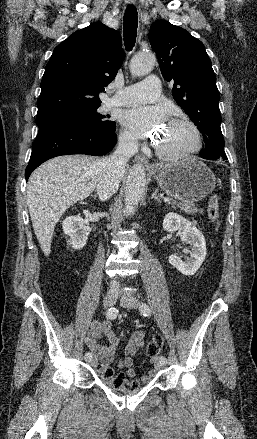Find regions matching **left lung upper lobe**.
Wrapping results in <instances>:
<instances>
[{
  "label": "left lung upper lobe",
  "mask_w": 257,
  "mask_h": 439,
  "mask_svg": "<svg viewBox=\"0 0 257 439\" xmlns=\"http://www.w3.org/2000/svg\"><path fill=\"white\" fill-rule=\"evenodd\" d=\"M149 41L157 54L164 79L174 83L172 96L203 134L202 158L226 157L216 76L204 44L168 21H155Z\"/></svg>",
  "instance_id": "5c2ea615"
}]
</instances>
